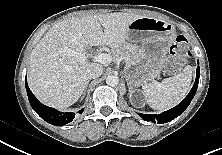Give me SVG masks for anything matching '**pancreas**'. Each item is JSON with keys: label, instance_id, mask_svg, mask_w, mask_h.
Masks as SVG:
<instances>
[{"label": "pancreas", "instance_id": "1", "mask_svg": "<svg viewBox=\"0 0 222 155\" xmlns=\"http://www.w3.org/2000/svg\"><path fill=\"white\" fill-rule=\"evenodd\" d=\"M135 50V46L128 44L124 50L121 51H113L112 58L118 60H125L126 62H130L132 59V52Z\"/></svg>", "mask_w": 222, "mask_h": 155}]
</instances>
